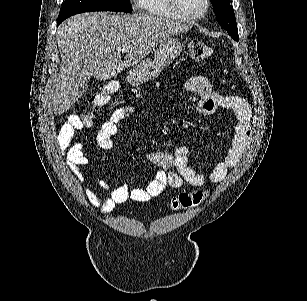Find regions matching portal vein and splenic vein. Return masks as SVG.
Here are the masks:
<instances>
[{"label":"portal vein and splenic vein","instance_id":"portal-vein-and-splenic-vein-1","mask_svg":"<svg viewBox=\"0 0 307 301\" xmlns=\"http://www.w3.org/2000/svg\"><path fill=\"white\" fill-rule=\"evenodd\" d=\"M120 50L121 52H129L130 48L129 46H121Z\"/></svg>","mask_w":307,"mask_h":301}]
</instances>
